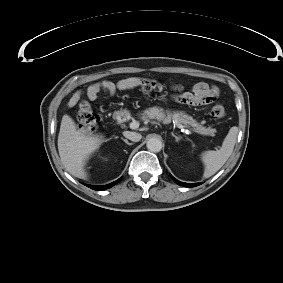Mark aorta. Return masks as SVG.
<instances>
[{
    "label": "aorta",
    "mask_w": 283,
    "mask_h": 283,
    "mask_svg": "<svg viewBox=\"0 0 283 283\" xmlns=\"http://www.w3.org/2000/svg\"><path fill=\"white\" fill-rule=\"evenodd\" d=\"M146 146L149 151L157 153L162 149V141L158 137H150L147 140Z\"/></svg>",
    "instance_id": "aorta-1"
}]
</instances>
